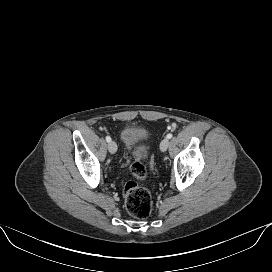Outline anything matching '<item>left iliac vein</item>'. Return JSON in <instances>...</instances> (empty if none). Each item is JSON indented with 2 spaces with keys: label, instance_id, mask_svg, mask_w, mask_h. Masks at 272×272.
<instances>
[{
  "label": "left iliac vein",
  "instance_id": "left-iliac-vein-1",
  "mask_svg": "<svg viewBox=\"0 0 272 272\" xmlns=\"http://www.w3.org/2000/svg\"><path fill=\"white\" fill-rule=\"evenodd\" d=\"M168 146H169V140L165 138L160 143V150L162 152H165L168 149Z\"/></svg>",
  "mask_w": 272,
  "mask_h": 272
}]
</instances>
